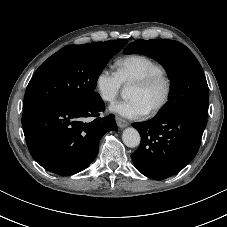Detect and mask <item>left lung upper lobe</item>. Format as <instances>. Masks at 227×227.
<instances>
[{"label": "left lung upper lobe", "mask_w": 227, "mask_h": 227, "mask_svg": "<svg viewBox=\"0 0 227 227\" xmlns=\"http://www.w3.org/2000/svg\"><path fill=\"white\" fill-rule=\"evenodd\" d=\"M132 53L160 62L171 80L169 102L156 117L187 113L207 118V81L200 63L185 45L173 40H136L124 49V54Z\"/></svg>", "instance_id": "5c2ea615"}]
</instances>
